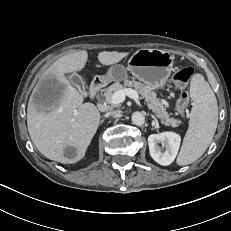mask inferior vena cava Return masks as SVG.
<instances>
[{
    "mask_svg": "<svg viewBox=\"0 0 231 231\" xmlns=\"http://www.w3.org/2000/svg\"><path fill=\"white\" fill-rule=\"evenodd\" d=\"M118 113H119L118 110H112V111L106 112L104 116H105V117L115 116V115H117Z\"/></svg>",
    "mask_w": 231,
    "mask_h": 231,
    "instance_id": "1",
    "label": "inferior vena cava"
}]
</instances>
